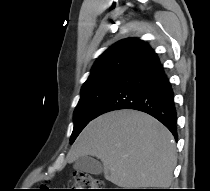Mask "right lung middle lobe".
I'll return each instance as SVG.
<instances>
[{
    "instance_id": "right-lung-middle-lobe-1",
    "label": "right lung middle lobe",
    "mask_w": 210,
    "mask_h": 191,
    "mask_svg": "<svg viewBox=\"0 0 210 191\" xmlns=\"http://www.w3.org/2000/svg\"><path fill=\"white\" fill-rule=\"evenodd\" d=\"M130 56H118L91 71L81 89V98L74 111L72 144L83 128L96 117L99 105L118 81L130 61Z\"/></svg>"
}]
</instances>
